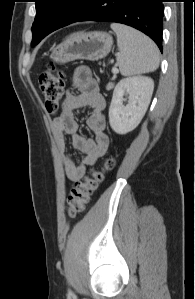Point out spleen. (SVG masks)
Segmentation results:
<instances>
[{
	"label": "spleen",
	"mask_w": 195,
	"mask_h": 299,
	"mask_svg": "<svg viewBox=\"0 0 195 299\" xmlns=\"http://www.w3.org/2000/svg\"><path fill=\"white\" fill-rule=\"evenodd\" d=\"M119 52L116 60L123 76L155 71L159 66V49L146 35L120 23H112Z\"/></svg>",
	"instance_id": "obj_1"
}]
</instances>
